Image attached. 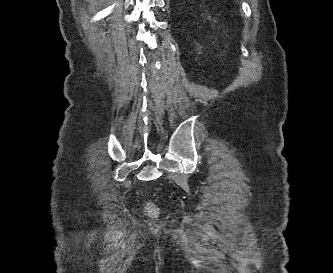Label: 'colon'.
I'll return each mask as SVG.
<instances>
[{
  "label": "colon",
  "mask_w": 333,
  "mask_h": 273,
  "mask_svg": "<svg viewBox=\"0 0 333 273\" xmlns=\"http://www.w3.org/2000/svg\"><path fill=\"white\" fill-rule=\"evenodd\" d=\"M149 211H150V213H154L155 212V208L153 206H149Z\"/></svg>",
  "instance_id": "obj_1"
}]
</instances>
